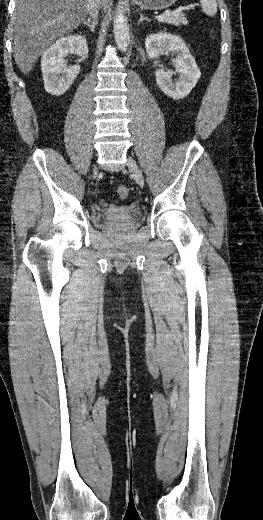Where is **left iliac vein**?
Masks as SVG:
<instances>
[{
    "instance_id": "obj_1",
    "label": "left iliac vein",
    "mask_w": 263,
    "mask_h": 520,
    "mask_svg": "<svg viewBox=\"0 0 263 520\" xmlns=\"http://www.w3.org/2000/svg\"><path fill=\"white\" fill-rule=\"evenodd\" d=\"M127 165H128L129 170L133 174L134 179L137 182V184L140 187H143L144 186L143 174H142L139 166L137 165L136 161L132 157H129L128 161H127Z\"/></svg>"
}]
</instances>
